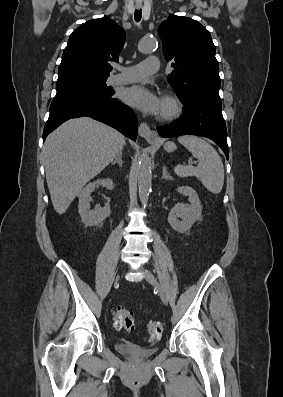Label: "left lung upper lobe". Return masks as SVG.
Returning <instances> with one entry per match:
<instances>
[{
  "mask_svg": "<svg viewBox=\"0 0 283 397\" xmlns=\"http://www.w3.org/2000/svg\"><path fill=\"white\" fill-rule=\"evenodd\" d=\"M158 34L164 57L174 68L168 82L181 102L222 107L219 65L210 32L196 20L170 14L158 27Z\"/></svg>",
  "mask_w": 283,
  "mask_h": 397,
  "instance_id": "left-lung-upper-lobe-1",
  "label": "left lung upper lobe"
}]
</instances>
